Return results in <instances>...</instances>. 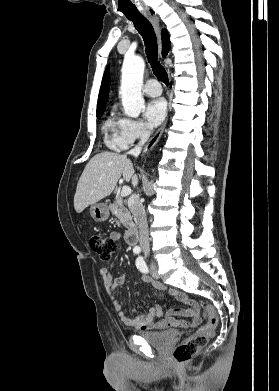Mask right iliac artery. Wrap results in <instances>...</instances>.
Segmentation results:
<instances>
[{
    "instance_id": "82829eb1",
    "label": "right iliac artery",
    "mask_w": 279,
    "mask_h": 391,
    "mask_svg": "<svg viewBox=\"0 0 279 391\" xmlns=\"http://www.w3.org/2000/svg\"><path fill=\"white\" fill-rule=\"evenodd\" d=\"M140 251H141V249H140L139 247H135V248L133 249V252H134L135 254H139Z\"/></svg>"
}]
</instances>
